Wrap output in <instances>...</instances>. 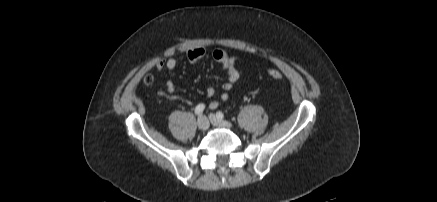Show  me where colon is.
Segmentation results:
<instances>
[{"label": "colon", "mask_w": 437, "mask_h": 202, "mask_svg": "<svg viewBox=\"0 0 437 202\" xmlns=\"http://www.w3.org/2000/svg\"><path fill=\"white\" fill-rule=\"evenodd\" d=\"M267 74L269 75V77H271L272 79H275V80H280L283 77L282 73L279 70L273 69V68L268 69ZM144 81L146 84L151 85L152 84V77L146 76Z\"/></svg>", "instance_id": "5ec220e1"}]
</instances>
